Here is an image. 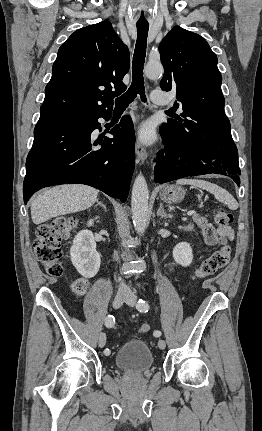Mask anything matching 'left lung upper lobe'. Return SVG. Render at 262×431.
Here are the masks:
<instances>
[{
    "mask_svg": "<svg viewBox=\"0 0 262 431\" xmlns=\"http://www.w3.org/2000/svg\"><path fill=\"white\" fill-rule=\"evenodd\" d=\"M164 76L163 90L177 92L174 109L181 116L160 127L161 135L177 148L220 152L233 141L224 112L222 76L217 56L206 40L181 27H174L159 45Z\"/></svg>",
    "mask_w": 262,
    "mask_h": 431,
    "instance_id": "5c2ea615",
    "label": "left lung upper lobe"
}]
</instances>
